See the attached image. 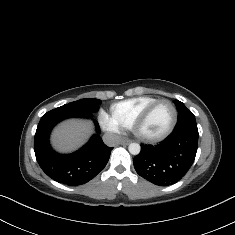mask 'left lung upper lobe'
<instances>
[{
  "instance_id": "5c2ea615",
  "label": "left lung upper lobe",
  "mask_w": 235,
  "mask_h": 235,
  "mask_svg": "<svg viewBox=\"0 0 235 235\" xmlns=\"http://www.w3.org/2000/svg\"><path fill=\"white\" fill-rule=\"evenodd\" d=\"M174 103L179 112L178 122L174 128V131H179V130L198 131L195 116L193 115V113L188 108H186V106L182 102L174 100Z\"/></svg>"
}]
</instances>
